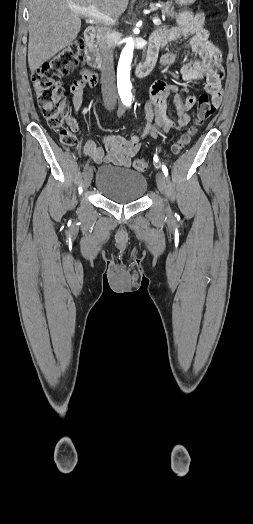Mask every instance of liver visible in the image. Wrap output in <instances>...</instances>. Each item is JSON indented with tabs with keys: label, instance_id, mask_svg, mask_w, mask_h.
<instances>
[{
	"label": "liver",
	"instance_id": "liver-1",
	"mask_svg": "<svg viewBox=\"0 0 253 524\" xmlns=\"http://www.w3.org/2000/svg\"><path fill=\"white\" fill-rule=\"evenodd\" d=\"M94 6L118 18L128 0H29L28 64L32 72L69 46L81 29L80 15L70 6Z\"/></svg>",
	"mask_w": 253,
	"mask_h": 524
}]
</instances>
